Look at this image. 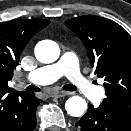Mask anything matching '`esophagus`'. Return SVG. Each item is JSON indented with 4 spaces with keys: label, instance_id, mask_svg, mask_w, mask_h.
<instances>
[{
    "label": "esophagus",
    "instance_id": "1",
    "mask_svg": "<svg viewBox=\"0 0 131 131\" xmlns=\"http://www.w3.org/2000/svg\"><path fill=\"white\" fill-rule=\"evenodd\" d=\"M70 94H71L70 92H66V91H54L52 93V96L60 98V97H64V96H67V95H70Z\"/></svg>",
    "mask_w": 131,
    "mask_h": 131
}]
</instances>
